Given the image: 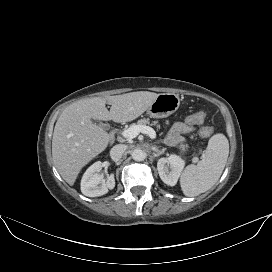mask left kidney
<instances>
[{
	"label": "left kidney",
	"mask_w": 272,
	"mask_h": 272,
	"mask_svg": "<svg viewBox=\"0 0 272 272\" xmlns=\"http://www.w3.org/2000/svg\"><path fill=\"white\" fill-rule=\"evenodd\" d=\"M185 161L178 155L172 154L168 158H160L157 162V170L161 180L174 186L182 173Z\"/></svg>",
	"instance_id": "1"
}]
</instances>
